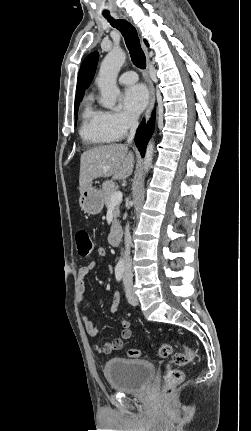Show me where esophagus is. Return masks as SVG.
I'll use <instances>...</instances> for the list:
<instances>
[{
    "instance_id": "34e87169",
    "label": "esophagus",
    "mask_w": 251,
    "mask_h": 431,
    "mask_svg": "<svg viewBox=\"0 0 251 431\" xmlns=\"http://www.w3.org/2000/svg\"><path fill=\"white\" fill-rule=\"evenodd\" d=\"M141 46H142V48H143V50L145 52V55H146L147 69H148V72H149L151 64H150V58H149V55H148V50H147V47L145 46V44H144L143 41L141 42ZM149 90H150V102H149L148 108H147V110L145 112V120H146V122L150 118V113L152 111V108H153L154 102H155V92H154V88H153V85H152L151 81H149Z\"/></svg>"
}]
</instances>
